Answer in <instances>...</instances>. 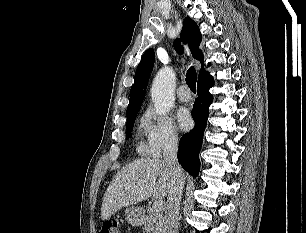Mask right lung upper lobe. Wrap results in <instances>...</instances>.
Instances as JSON below:
<instances>
[{
  "instance_id": "1",
  "label": "right lung upper lobe",
  "mask_w": 306,
  "mask_h": 233,
  "mask_svg": "<svg viewBox=\"0 0 306 233\" xmlns=\"http://www.w3.org/2000/svg\"><path fill=\"white\" fill-rule=\"evenodd\" d=\"M201 40L202 36L199 31V27L190 17L187 16L181 32V39H176L174 41V48L178 53H182L183 47L181 46V41L188 43L193 58L198 59L201 62L202 68L199 71V77H202L207 73L203 68V53L201 50H199ZM154 61V50H147L143 54L142 59L136 69L134 78L135 81L130 90V102L127 108V116L140 110L141 103L145 97V90L150 73L153 69Z\"/></svg>"
}]
</instances>
